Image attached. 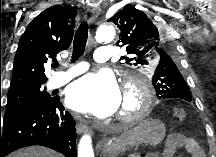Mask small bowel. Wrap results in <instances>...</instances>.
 Returning a JSON list of instances; mask_svg holds the SVG:
<instances>
[{"label": "small bowel", "mask_w": 216, "mask_h": 157, "mask_svg": "<svg viewBox=\"0 0 216 157\" xmlns=\"http://www.w3.org/2000/svg\"><path fill=\"white\" fill-rule=\"evenodd\" d=\"M184 148L192 157H204V151L191 136L171 134L162 150V157H173L176 150Z\"/></svg>", "instance_id": "1"}]
</instances>
